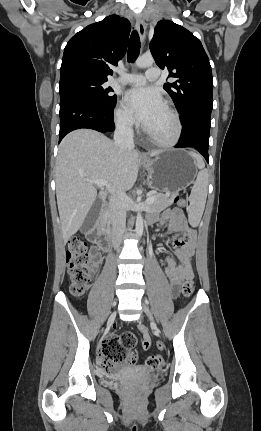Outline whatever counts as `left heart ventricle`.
I'll use <instances>...</instances> for the list:
<instances>
[{
    "instance_id": "1",
    "label": "left heart ventricle",
    "mask_w": 261,
    "mask_h": 431,
    "mask_svg": "<svg viewBox=\"0 0 261 431\" xmlns=\"http://www.w3.org/2000/svg\"><path fill=\"white\" fill-rule=\"evenodd\" d=\"M147 129L160 139H168L173 135L175 129L174 121L165 107L156 115Z\"/></svg>"
}]
</instances>
